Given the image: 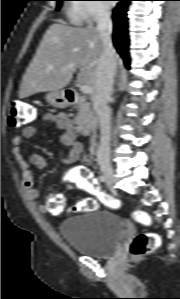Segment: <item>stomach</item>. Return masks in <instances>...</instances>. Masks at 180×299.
I'll list each match as a JSON object with an SVG mask.
<instances>
[{
  "label": "stomach",
  "instance_id": "obj_1",
  "mask_svg": "<svg viewBox=\"0 0 180 299\" xmlns=\"http://www.w3.org/2000/svg\"><path fill=\"white\" fill-rule=\"evenodd\" d=\"M46 101L57 108H64L69 104L68 99L65 96V92L62 90L50 91L45 95Z\"/></svg>",
  "mask_w": 180,
  "mask_h": 299
}]
</instances>
